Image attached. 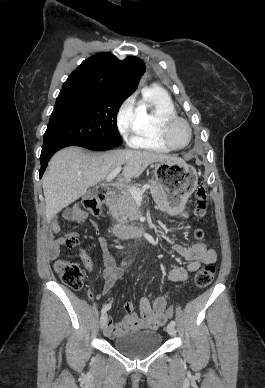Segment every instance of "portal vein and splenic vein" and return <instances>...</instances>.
I'll list each match as a JSON object with an SVG mask.
<instances>
[{
  "label": "portal vein and splenic vein",
  "instance_id": "obj_1",
  "mask_svg": "<svg viewBox=\"0 0 265 388\" xmlns=\"http://www.w3.org/2000/svg\"><path fill=\"white\" fill-rule=\"evenodd\" d=\"M122 168L121 166H117V168H115V170H113V172H111V174H109V176H107L106 180L107 182H111V180H113V178H116L117 174H120ZM120 186H124V184H120ZM147 188H151V186H148V184H145V186H142L141 190L140 188H129V192L132 196V198H142L144 192H146Z\"/></svg>",
  "mask_w": 265,
  "mask_h": 388
}]
</instances>
